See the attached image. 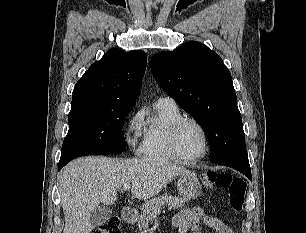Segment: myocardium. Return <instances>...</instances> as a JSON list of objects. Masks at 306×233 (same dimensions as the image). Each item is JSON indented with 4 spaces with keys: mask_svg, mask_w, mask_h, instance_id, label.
<instances>
[{
    "mask_svg": "<svg viewBox=\"0 0 306 233\" xmlns=\"http://www.w3.org/2000/svg\"><path fill=\"white\" fill-rule=\"evenodd\" d=\"M186 123H192L195 126H197L199 128V130L201 131L202 135H203L204 150H203L202 154H200L198 156H194V157L185 156L184 154H182V152L179 149L178 135H179L180 129ZM169 144H170L171 150L174 153V155L178 159H180L182 161H186V162H195V161H199V160L205 158L206 155L208 154L209 148H210V142H209V136H208L207 130L205 129V127L202 125L201 122H199L197 119H195L193 117H181L173 123V125L170 128V132H169Z\"/></svg>",
    "mask_w": 306,
    "mask_h": 233,
    "instance_id": "1",
    "label": "myocardium"
}]
</instances>
